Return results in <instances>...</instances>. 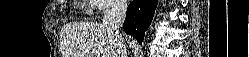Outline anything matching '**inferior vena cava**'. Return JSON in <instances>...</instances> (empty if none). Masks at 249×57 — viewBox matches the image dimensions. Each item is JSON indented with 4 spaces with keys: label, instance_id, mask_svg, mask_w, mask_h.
<instances>
[{
    "label": "inferior vena cava",
    "instance_id": "1",
    "mask_svg": "<svg viewBox=\"0 0 249 57\" xmlns=\"http://www.w3.org/2000/svg\"><path fill=\"white\" fill-rule=\"evenodd\" d=\"M127 3L123 0H116L112 6L106 10L102 25L109 30L112 34L118 37L119 39V49L122 53V57H126V45L124 39L119 33V28L122 27L123 22L126 17Z\"/></svg>",
    "mask_w": 249,
    "mask_h": 57
}]
</instances>
